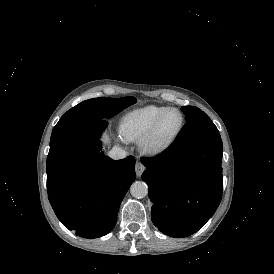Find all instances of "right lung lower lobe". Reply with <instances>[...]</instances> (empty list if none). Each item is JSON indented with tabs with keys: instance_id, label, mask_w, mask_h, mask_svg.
I'll return each instance as SVG.
<instances>
[{
	"instance_id": "1",
	"label": "right lung lower lobe",
	"mask_w": 274,
	"mask_h": 274,
	"mask_svg": "<svg viewBox=\"0 0 274 274\" xmlns=\"http://www.w3.org/2000/svg\"><path fill=\"white\" fill-rule=\"evenodd\" d=\"M107 126L96 120L50 146L47 157L49 201L59 220L76 235L97 238L116 224L123 197L136 178L135 158L114 161L98 137Z\"/></svg>"
}]
</instances>
